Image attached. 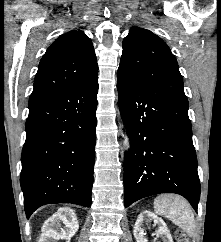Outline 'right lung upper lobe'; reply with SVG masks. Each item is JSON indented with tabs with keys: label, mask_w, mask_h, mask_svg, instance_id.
Returning a JSON list of instances; mask_svg holds the SVG:
<instances>
[{
	"label": "right lung upper lobe",
	"mask_w": 221,
	"mask_h": 242,
	"mask_svg": "<svg viewBox=\"0 0 221 242\" xmlns=\"http://www.w3.org/2000/svg\"><path fill=\"white\" fill-rule=\"evenodd\" d=\"M98 73L94 47L82 31L59 36L42 57L29 101L69 91Z\"/></svg>",
	"instance_id": "obj_1"
}]
</instances>
